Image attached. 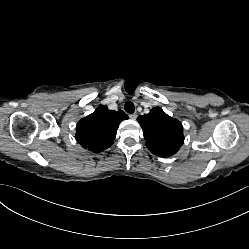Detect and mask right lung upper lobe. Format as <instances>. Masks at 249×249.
<instances>
[{"mask_svg": "<svg viewBox=\"0 0 249 249\" xmlns=\"http://www.w3.org/2000/svg\"><path fill=\"white\" fill-rule=\"evenodd\" d=\"M126 119L128 116L122 110L111 111L100 106L78 122L76 140L88 150L101 152L113 144L119 123Z\"/></svg>", "mask_w": 249, "mask_h": 249, "instance_id": "1", "label": "right lung upper lobe"}]
</instances>
